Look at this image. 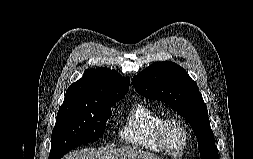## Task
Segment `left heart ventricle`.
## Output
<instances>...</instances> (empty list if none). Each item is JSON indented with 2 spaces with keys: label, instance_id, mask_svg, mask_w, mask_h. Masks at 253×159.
<instances>
[{
  "label": "left heart ventricle",
  "instance_id": "b2bd125f",
  "mask_svg": "<svg viewBox=\"0 0 253 159\" xmlns=\"http://www.w3.org/2000/svg\"><path fill=\"white\" fill-rule=\"evenodd\" d=\"M165 140L170 150L174 152L180 151L184 143L180 127L176 124H170L166 130Z\"/></svg>",
  "mask_w": 253,
  "mask_h": 159
}]
</instances>
